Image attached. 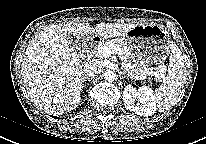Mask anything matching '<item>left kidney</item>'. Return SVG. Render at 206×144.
Instances as JSON below:
<instances>
[{"mask_svg":"<svg viewBox=\"0 0 206 144\" xmlns=\"http://www.w3.org/2000/svg\"><path fill=\"white\" fill-rule=\"evenodd\" d=\"M135 99L141 102L140 106H135ZM124 106L127 110L134 111L139 116H152L156 111L155 96L151 88L146 86L138 90L132 85H127L123 91Z\"/></svg>","mask_w":206,"mask_h":144,"instance_id":"obj_1","label":"left kidney"}]
</instances>
